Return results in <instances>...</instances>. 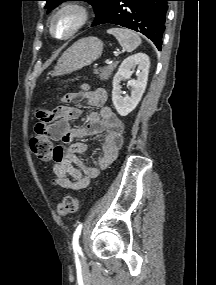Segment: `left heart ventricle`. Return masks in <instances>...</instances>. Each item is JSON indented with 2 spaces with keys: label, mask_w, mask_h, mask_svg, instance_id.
I'll return each mask as SVG.
<instances>
[{
  "label": "left heart ventricle",
  "mask_w": 216,
  "mask_h": 285,
  "mask_svg": "<svg viewBox=\"0 0 216 285\" xmlns=\"http://www.w3.org/2000/svg\"><path fill=\"white\" fill-rule=\"evenodd\" d=\"M76 23V16L73 13H64L54 23V32L61 36L68 33Z\"/></svg>",
  "instance_id": "obj_1"
}]
</instances>
